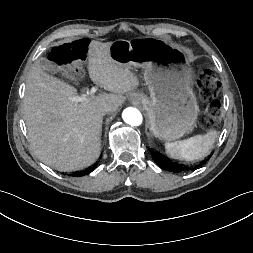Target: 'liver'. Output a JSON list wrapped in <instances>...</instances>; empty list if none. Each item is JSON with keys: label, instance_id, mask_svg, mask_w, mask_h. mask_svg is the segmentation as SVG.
Instances as JSON below:
<instances>
[{"label": "liver", "instance_id": "liver-1", "mask_svg": "<svg viewBox=\"0 0 253 253\" xmlns=\"http://www.w3.org/2000/svg\"><path fill=\"white\" fill-rule=\"evenodd\" d=\"M111 45L98 41L88 45L89 77L112 93H101L86 102H76L77 89L46 73L40 61L31 69L24 120L31 148L46 165L72 171L93 164L101 150L103 104H111L116 110L124 102L123 95L139 86L129 67L112 59Z\"/></svg>", "mask_w": 253, "mask_h": 253}]
</instances>
